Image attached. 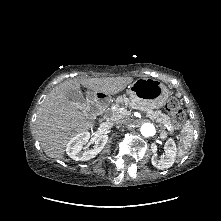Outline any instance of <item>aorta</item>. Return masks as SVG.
Instances as JSON below:
<instances>
[{"mask_svg": "<svg viewBox=\"0 0 221 221\" xmlns=\"http://www.w3.org/2000/svg\"><path fill=\"white\" fill-rule=\"evenodd\" d=\"M140 131L144 137H151L156 133L155 126L151 123H144L141 126Z\"/></svg>", "mask_w": 221, "mask_h": 221, "instance_id": "1", "label": "aorta"}]
</instances>
